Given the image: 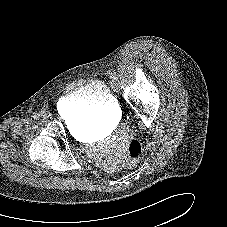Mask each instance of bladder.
I'll use <instances>...</instances> for the list:
<instances>
[{"mask_svg":"<svg viewBox=\"0 0 227 227\" xmlns=\"http://www.w3.org/2000/svg\"><path fill=\"white\" fill-rule=\"evenodd\" d=\"M80 132L108 126L119 112V105L102 81L87 83L68 93L60 103Z\"/></svg>","mask_w":227,"mask_h":227,"instance_id":"1","label":"bladder"}]
</instances>
